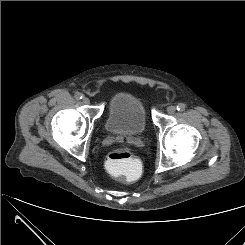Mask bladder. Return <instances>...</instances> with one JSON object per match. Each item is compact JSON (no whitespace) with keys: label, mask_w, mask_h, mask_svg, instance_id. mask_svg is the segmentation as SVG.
<instances>
[{"label":"bladder","mask_w":245,"mask_h":245,"mask_svg":"<svg viewBox=\"0 0 245 245\" xmlns=\"http://www.w3.org/2000/svg\"><path fill=\"white\" fill-rule=\"evenodd\" d=\"M148 116L143 99L136 93L123 91L108 102L105 129L110 134L139 135L147 127Z\"/></svg>","instance_id":"obj_1"}]
</instances>
